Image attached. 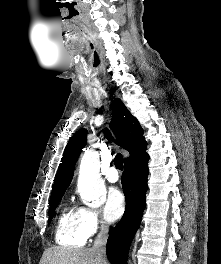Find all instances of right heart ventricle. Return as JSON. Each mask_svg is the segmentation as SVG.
<instances>
[{
	"label": "right heart ventricle",
	"instance_id": "obj_1",
	"mask_svg": "<svg viewBox=\"0 0 221 264\" xmlns=\"http://www.w3.org/2000/svg\"><path fill=\"white\" fill-rule=\"evenodd\" d=\"M56 242L65 247H82L88 235L82 220V208L67 205L63 208L55 231Z\"/></svg>",
	"mask_w": 221,
	"mask_h": 264
}]
</instances>
